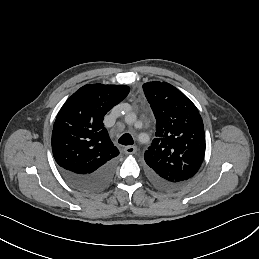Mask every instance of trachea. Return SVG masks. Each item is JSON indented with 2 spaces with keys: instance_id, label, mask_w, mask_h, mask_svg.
<instances>
[{
  "instance_id": "3493384b",
  "label": "trachea",
  "mask_w": 259,
  "mask_h": 259,
  "mask_svg": "<svg viewBox=\"0 0 259 259\" xmlns=\"http://www.w3.org/2000/svg\"><path fill=\"white\" fill-rule=\"evenodd\" d=\"M118 142L122 145H132L134 143L133 137L130 134H123Z\"/></svg>"
}]
</instances>
